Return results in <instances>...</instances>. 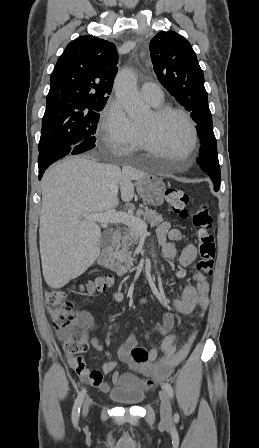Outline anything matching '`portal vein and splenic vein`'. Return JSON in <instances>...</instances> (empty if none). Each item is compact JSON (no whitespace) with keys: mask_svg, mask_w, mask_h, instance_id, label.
I'll use <instances>...</instances> for the list:
<instances>
[{"mask_svg":"<svg viewBox=\"0 0 259 448\" xmlns=\"http://www.w3.org/2000/svg\"><path fill=\"white\" fill-rule=\"evenodd\" d=\"M83 218L93 220V222H98V224H125V226H129V228L137 230V232H142V234L147 232V224L143 220L135 218L132 214H125V212L108 210L105 214H83Z\"/></svg>","mask_w":259,"mask_h":448,"instance_id":"portal-vein-and-splenic-vein-1","label":"portal vein and splenic vein"}]
</instances>
